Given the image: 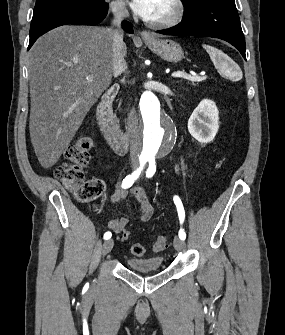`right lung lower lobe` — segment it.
Returning <instances> with one entry per match:
<instances>
[{
    "label": "right lung lower lobe",
    "mask_w": 285,
    "mask_h": 335,
    "mask_svg": "<svg viewBox=\"0 0 285 335\" xmlns=\"http://www.w3.org/2000/svg\"><path fill=\"white\" fill-rule=\"evenodd\" d=\"M107 12L108 5L105 2L89 5L58 0L34 8L28 49L41 35L58 26L66 24L96 25L107 15ZM123 28L128 33H133V28L127 21H123Z\"/></svg>",
    "instance_id": "right-lung-lower-lobe-1"
}]
</instances>
